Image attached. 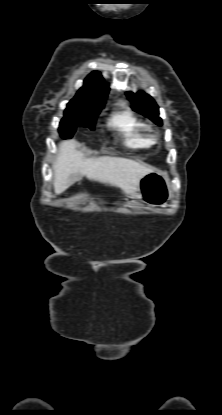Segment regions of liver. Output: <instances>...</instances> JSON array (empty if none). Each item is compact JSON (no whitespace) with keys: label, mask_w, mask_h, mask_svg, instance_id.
Returning <instances> with one entry per match:
<instances>
[{"label":"liver","mask_w":222,"mask_h":415,"mask_svg":"<svg viewBox=\"0 0 222 415\" xmlns=\"http://www.w3.org/2000/svg\"><path fill=\"white\" fill-rule=\"evenodd\" d=\"M77 146L74 139L59 144V154L53 164L56 194L63 193L84 176L89 180L118 187L127 194L138 186L145 175L155 171L152 167L126 158H84Z\"/></svg>","instance_id":"liver-1"}]
</instances>
